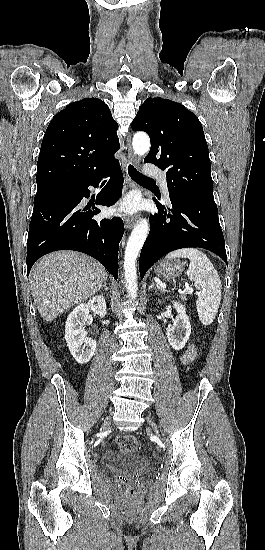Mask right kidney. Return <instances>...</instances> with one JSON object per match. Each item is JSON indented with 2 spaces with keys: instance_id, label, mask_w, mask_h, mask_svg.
Returning a JSON list of instances; mask_svg holds the SVG:
<instances>
[{
  "instance_id": "obj_1",
  "label": "right kidney",
  "mask_w": 265,
  "mask_h": 550,
  "mask_svg": "<svg viewBox=\"0 0 265 550\" xmlns=\"http://www.w3.org/2000/svg\"><path fill=\"white\" fill-rule=\"evenodd\" d=\"M103 317L106 315V302L103 295L91 298L87 303H81L69 314L65 326V340L73 358L79 364H86L93 357L96 341L87 338L85 322L89 312Z\"/></svg>"
}]
</instances>
